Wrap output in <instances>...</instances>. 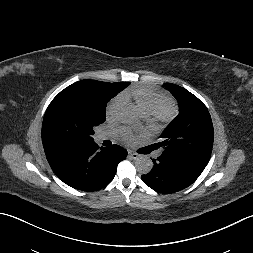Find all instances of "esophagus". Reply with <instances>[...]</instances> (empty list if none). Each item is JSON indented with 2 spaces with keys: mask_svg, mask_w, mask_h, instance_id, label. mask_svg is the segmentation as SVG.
I'll use <instances>...</instances> for the list:
<instances>
[{
  "mask_svg": "<svg viewBox=\"0 0 253 253\" xmlns=\"http://www.w3.org/2000/svg\"><path fill=\"white\" fill-rule=\"evenodd\" d=\"M128 155L132 158V159H137V158H139V154L138 153H136V152H134V151H132V150H129L128 151Z\"/></svg>",
  "mask_w": 253,
  "mask_h": 253,
  "instance_id": "obj_1",
  "label": "esophagus"
}]
</instances>
